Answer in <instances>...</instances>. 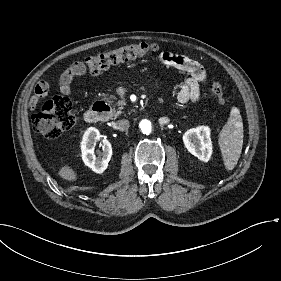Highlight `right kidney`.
<instances>
[{
  "label": "right kidney",
  "instance_id": "right-kidney-1",
  "mask_svg": "<svg viewBox=\"0 0 281 281\" xmlns=\"http://www.w3.org/2000/svg\"><path fill=\"white\" fill-rule=\"evenodd\" d=\"M99 141L103 148V155L101 157L96 156L95 149V146ZM81 146L82 158L85 164L96 173H103L107 169L112 157V147L110 142L101 135L98 129L91 127L84 133Z\"/></svg>",
  "mask_w": 281,
  "mask_h": 281
}]
</instances>
